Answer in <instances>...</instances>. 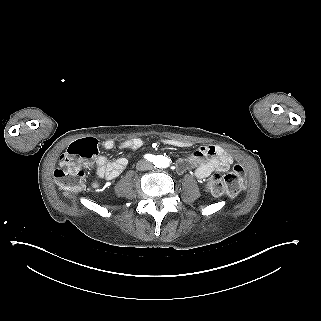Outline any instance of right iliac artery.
<instances>
[{
  "label": "right iliac artery",
  "instance_id": "1",
  "mask_svg": "<svg viewBox=\"0 0 321 321\" xmlns=\"http://www.w3.org/2000/svg\"><path fill=\"white\" fill-rule=\"evenodd\" d=\"M145 158L148 160V161H151V162H154L156 160V157L152 154H147L145 155Z\"/></svg>",
  "mask_w": 321,
  "mask_h": 321
}]
</instances>
